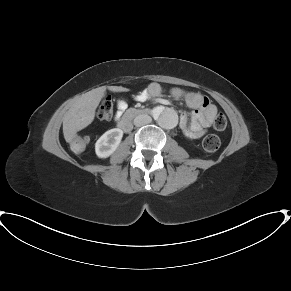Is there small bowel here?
Here are the masks:
<instances>
[{"mask_svg":"<svg viewBox=\"0 0 291 291\" xmlns=\"http://www.w3.org/2000/svg\"><path fill=\"white\" fill-rule=\"evenodd\" d=\"M161 87L157 83H151L145 94L138 96V100L146 98H155L160 96ZM170 94L174 98L183 99L188 107L192 109L188 116L182 113L180 116V127L183 129L185 135L190 139H199L202 137L209 125L217 114V107L211 103L209 99L198 91H183L179 89H172ZM119 111L117 117H120L124 109L125 103H119Z\"/></svg>","mask_w":291,"mask_h":291,"instance_id":"c3829d8e","label":"small bowel"}]
</instances>
